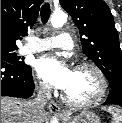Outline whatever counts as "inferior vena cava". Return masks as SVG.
<instances>
[{
  "instance_id": "1",
  "label": "inferior vena cava",
  "mask_w": 122,
  "mask_h": 123,
  "mask_svg": "<svg viewBox=\"0 0 122 123\" xmlns=\"http://www.w3.org/2000/svg\"><path fill=\"white\" fill-rule=\"evenodd\" d=\"M51 98V87L47 84H40L36 98L32 101L34 112L40 116L44 113V107Z\"/></svg>"
}]
</instances>
